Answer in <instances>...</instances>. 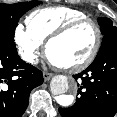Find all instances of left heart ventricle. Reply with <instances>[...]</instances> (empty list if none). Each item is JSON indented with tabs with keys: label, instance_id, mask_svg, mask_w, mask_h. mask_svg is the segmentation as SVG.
Returning <instances> with one entry per match:
<instances>
[{
	"label": "left heart ventricle",
	"instance_id": "left-heart-ventricle-1",
	"mask_svg": "<svg viewBox=\"0 0 117 117\" xmlns=\"http://www.w3.org/2000/svg\"><path fill=\"white\" fill-rule=\"evenodd\" d=\"M96 32L87 24L55 41L49 49V59L58 66H70L84 60L93 49Z\"/></svg>",
	"mask_w": 117,
	"mask_h": 117
}]
</instances>
